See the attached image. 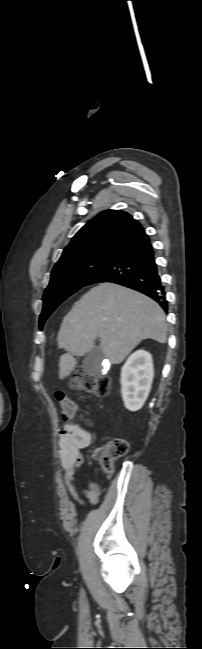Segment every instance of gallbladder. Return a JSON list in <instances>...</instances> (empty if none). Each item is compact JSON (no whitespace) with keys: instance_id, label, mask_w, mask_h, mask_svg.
Returning a JSON list of instances; mask_svg holds the SVG:
<instances>
[{"instance_id":"obj_1","label":"gallbladder","mask_w":202,"mask_h":649,"mask_svg":"<svg viewBox=\"0 0 202 649\" xmlns=\"http://www.w3.org/2000/svg\"><path fill=\"white\" fill-rule=\"evenodd\" d=\"M104 355L99 345H95L93 349L88 352L82 362V369L89 376H98L101 374L103 366L102 361Z\"/></svg>"}]
</instances>
